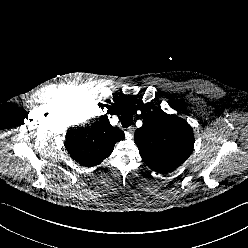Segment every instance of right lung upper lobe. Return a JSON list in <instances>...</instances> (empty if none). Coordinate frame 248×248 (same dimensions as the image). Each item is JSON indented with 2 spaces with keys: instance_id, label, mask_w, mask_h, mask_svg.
I'll list each match as a JSON object with an SVG mask.
<instances>
[{
  "instance_id": "cb5924a9",
  "label": "right lung upper lobe",
  "mask_w": 248,
  "mask_h": 248,
  "mask_svg": "<svg viewBox=\"0 0 248 248\" xmlns=\"http://www.w3.org/2000/svg\"><path fill=\"white\" fill-rule=\"evenodd\" d=\"M125 137L118 127L110 125L107 116H101L85 127L70 129L65 147L71 158L83 166L100 164L113 151L116 142Z\"/></svg>"
}]
</instances>
